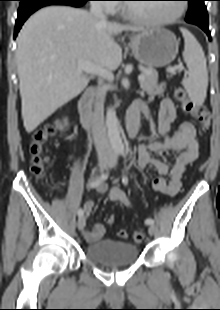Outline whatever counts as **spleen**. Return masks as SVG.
Here are the masks:
<instances>
[{
  "label": "spleen",
  "mask_w": 220,
  "mask_h": 310,
  "mask_svg": "<svg viewBox=\"0 0 220 310\" xmlns=\"http://www.w3.org/2000/svg\"><path fill=\"white\" fill-rule=\"evenodd\" d=\"M185 46L183 58L188 67V76L183 78L182 84L191 101L202 105L207 93L208 73L206 58L201 45L187 29H180Z\"/></svg>",
  "instance_id": "1"
}]
</instances>
